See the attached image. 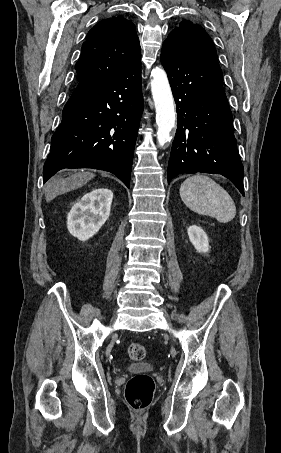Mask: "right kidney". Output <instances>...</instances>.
<instances>
[{"mask_svg": "<svg viewBox=\"0 0 281 453\" xmlns=\"http://www.w3.org/2000/svg\"><path fill=\"white\" fill-rule=\"evenodd\" d=\"M113 192L110 188H93L73 204L67 216V229L79 241L98 233L109 218Z\"/></svg>", "mask_w": 281, "mask_h": 453, "instance_id": "right-kidney-1", "label": "right kidney"}]
</instances>
